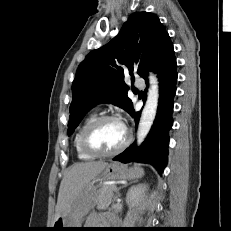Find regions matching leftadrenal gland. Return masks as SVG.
Here are the masks:
<instances>
[{"label":"left adrenal gland","mask_w":231,"mask_h":231,"mask_svg":"<svg viewBox=\"0 0 231 231\" xmlns=\"http://www.w3.org/2000/svg\"><path fill=\"white\" fill-rule=\"evenodd\" d=\"M134 182H136V181H134ZM131 183H132V182H130L129 184H131ZM125 186H126V185L120 187V188L117 190V196H119V190H120L121 188L125 187Z\"/></svg>","instance_id":"1"}]
</instances>
